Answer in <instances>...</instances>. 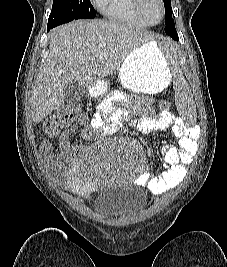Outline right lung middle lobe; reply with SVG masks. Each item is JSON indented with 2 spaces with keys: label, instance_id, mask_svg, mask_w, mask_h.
<instances>
[{
  "label": "right lung middle lobe",
  "instance_id": "right-lung-middle-lobe-1",
  "mask_svg": "<svg viewBox=\"0 0 227 267\" xmlns=\"http://www.w3.org/2000/svg\"><path fill=\"white\" fill-rule=\"evenodd\" d=\"M95 16L90 0H53L48 26L53 28L74 19H92Z\"/></svg>",
  "mask_w": 227,
  "mask_h": 267
}]
</instances>
